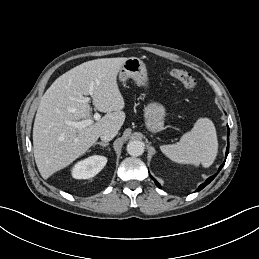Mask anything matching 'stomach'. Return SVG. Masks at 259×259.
Instances as JSON below:
<instances>
[{
  "label": "stomach",
  "instance_id": "stomach-1",
  "mask_svg": "<svg viewBox=\"0 0 259 259\" xmlns=\"http://www.w3.org/2000/svg\"><path fill=\"white\" fill-rule=\"evenodd\" d=\"M128 78L134 80L138 86H148L146 66L143 61L137 57L127 58L119 72L120 81L125 82ZM164 116L165 108L160 103L150 102L144 108L146 126L152 133L163 130Z\"/></svg>",
  "mask_w": 259,
  "mask_h": 259
}]
</instances>
